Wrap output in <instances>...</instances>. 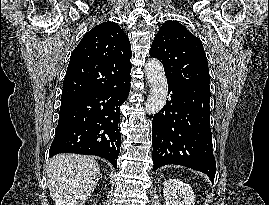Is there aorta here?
<instances>
[{
	"label": "aorta",
	"instance_id": "1",
	"mask_svg": "<svg viewBox=\"0 0 269 205\" xmlns=\"http://www.w3.org/2000/svg\"><path fill=\"white\" fill-rule=\"evenodd\" d=\"M145 72L150 84V94L145 103V110L148 114H156L164 107L167 100V79L163 66L157 59L147 61Z\"/></svg>",
	"mask_w": 269,
	"mask_h": 205
}]
</instances>
